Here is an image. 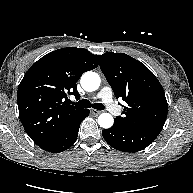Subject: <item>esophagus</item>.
Masks as SVG:
<instances>
[{
  "label": "esophagus",
  "instance_id": "34e87169",
  "mask_svg": "<svg viewBox=\"0 0 193 193\" xmlns=\"http://www.w3.org/2000/svg\"><path fill=\"white\" fill-rule=\"evenodd\" d=\"M90 112H91V114H93L95 116H97V115H99L101 113V111L96 110V109H91Z\"/></svg>",
  "mask_w": 193,
  "mask_h": 193
}]
</instances>
